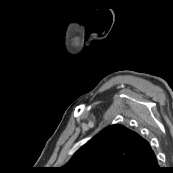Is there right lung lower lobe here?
<instances>
[{"label":"right lung lower lobe","instance_id":"98d812e1","mask_svg":"<svg viewBox=\"0 0 173 173\" xmlns=\"http://www.w3.org/2000/svg\"><path fill=\"white\" fill-rule=\"evenodd\" d=\"M124 173H161L160 167L154 152L128 167Z\"/></svg>","mask_w":173,"mask_h":173}]
</instances>
